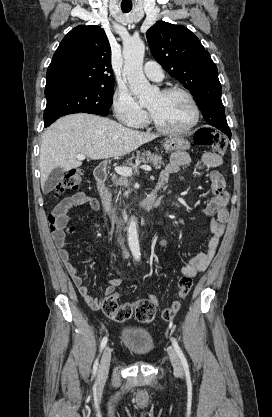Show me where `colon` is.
Masks as SVG:
<instances>
[{
	"label": "colon",
	"instance_id": "obj_1",
	"mask_svg": "<svg viewBox=\"0 0 272 417\" xmlns=\"http://www.w3.org/2000/svg\"><path fill=\"white\" fill-rule=\"evenodd\" d=\"M194 143L200 147L211 148L215 154L223 155L226 151V139L216 130L209 127L199 128L194 135ZM83 184L82 173L79 170H73L64 175L57 184L56 191L61 193L68 190H75ZM49 222L52 231L58 229L55 215H50ZM162 246L166 245V241L162 240ZM193 286L192 277L183 275L179 278L177 283V298L173 301L170 307L164 308L161 311V317L164 321L172 320L179 308L180 302L191 291ZM159 305V300L156 295L151 294L148 298L138 299L132 303H118V294L113 293L106 297L102 304L104 314L115 322H124L135 316V318L143 323L151 322L156 314V308Z\"/></svg>",
	"mask_w": 272,
	"mask_h": 417
}]
</instances>
